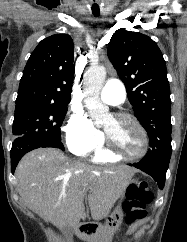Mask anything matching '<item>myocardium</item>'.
Listing matches in <instances>:
<instances>
[{"instance_id":"f54148a6","label":"myocardium","mask_w":187,"mask_h":242,"mask_svg":"<svg viewBox=\"0 0 187 242\" xmlns=\"http://www.w3.org/2000/svg\"><path fill=\"white\" fill-rule=\"evenodd\" d=\"M113 118H115L118 121H128L132 123L140 132L143 140V147L142 150L137 153V154H128L125 153L119 149H117L110 139L108 138L107 134L105 133V150L108 152L110 155L119 158V159H125V160H137L142 157H144L148 150H149V137L147 134L146 129L144 126L140 123V121L134 117L133 115L126 113V112H117L113 114Z\"/></svg>"}]
</instances>
